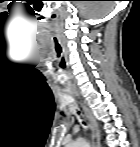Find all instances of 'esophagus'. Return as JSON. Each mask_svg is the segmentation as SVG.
<instances>
[{
    "label": "esophagus",
    "instance_id": "obj_1",
    "mask_svg": "<svg viewBox=\"0 0 140 147\" xmlns=\"http://www.w3.org/2000/svg\"><path fill=\"white\" fill-rule=\"evenodd\" d=\"M83 111L89 121L91 132H92V146L93 147H101L100 145V130L97 121L93 117L90 110L87 108V106L81 102Z\"/></svg>",
    "mask_w": 140,
    "mask_h": 147
}]
</instances>
